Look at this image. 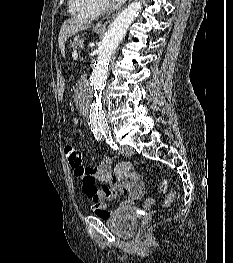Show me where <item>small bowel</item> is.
<instances>
[{"label":"small bowel","instance_id":"small-bowel-1","mask_svg":"<svg viewBox=\"0 0 233 263\" xmlns=\"http://www.w3.org/2000/svg\"><path fill=\"white\" fill-rule=\"evenodd\" d=\"M123 165L122 170L119 166ZM90 172L87 175H77L82 180V190L91 200L95 214L107 219L111 216L107 202L116 199L120 195L126 198L118 208H132L136 200L144 196L146 189L142 177L137 173L133 165L123 162L113 167L111 157L104 158L96 165L87 166ZM98 183L103 186L99 187ZM153 199H148L144 208L149 210L154 206Z\"/></svg>","mask_w":233,"mask_h":263}]
</instances>
